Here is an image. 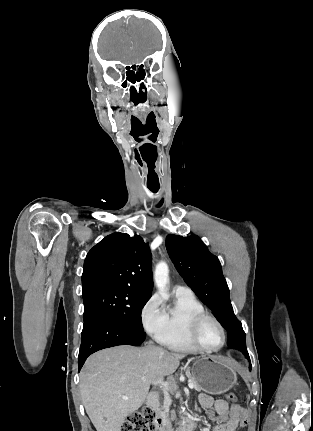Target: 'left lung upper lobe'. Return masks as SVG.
Returning <instances> with one entry per match:
<instances>
[{
  "instance_id": "obj_1",
  "label": "left lung upper lobe",
  "mask_w": 313,
  "mask_h": 431,
  "mask_svg": "<svg viewBox=\"0 0 313 431\" xmlns=\"http://www.w3.org/2000/svg\"><path fill=\"white\" fill-rule=\"evenodd\" d=\"M166 248L184 281L227 330V345L240 350L249 359L246 335L241 322L234 315L218 258L208 251L198 236L170 234L166 237Z\"/></svg>"
}]
</instances>
